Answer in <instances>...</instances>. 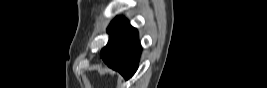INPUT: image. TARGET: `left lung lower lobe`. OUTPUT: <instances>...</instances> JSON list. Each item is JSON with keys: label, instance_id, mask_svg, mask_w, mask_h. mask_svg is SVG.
Listing matches in <instances>:
<instances>
[{"label": "left lung lower lobe", "instance_id": "left-lung-lower-lobe-1", "mask_svg": "<svg viewBox=\"0 0 267 88\" xmlns=\"http://www.w3.org/2000/svg\"><path fill=\"white\" fill-rule=\"evenodd\" d=\"M108 44L102 49L103 61L129 79L136 71L141 47L138 33L126 19H122L110 32Z\"/></svg>", "mask_w": 267, "mask_h": 88}]
</instances>
